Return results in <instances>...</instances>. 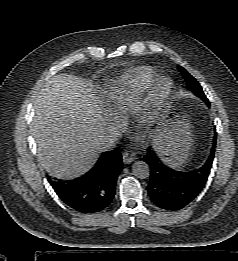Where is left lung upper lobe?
Instances as JSON below:
<instances>
[{
	"label": "left lung upper lobe",
	"instance_id": "obj_1",
	"mask_svg": "<svg viewBox=\"0 0 238 261\" xmlns=\"http://www.w3.org/2000/svg\"><path fill=\"white\" fill-rule=\"evenodd\" d=\"M179 71L182 74L183 78L186 81V87L188 90L192 91L195 95L200 96L204 100L207 99L205 96L200 84L197 82V80L190 75L183 67L179 66Z\"/></svg>",
	"mask_w": 238,
	"mask_h": 261
}]
</instances>
